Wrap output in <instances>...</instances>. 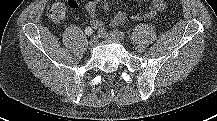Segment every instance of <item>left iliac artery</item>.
<instances>
[{
  "label": "left iliac artery",
  "instance_id": "1",
  "mask_svg": "<svg viewBox=\"0 0 217 121\" xmlns=\"http://www.w3.org/2000/svg\"><path fill=\"white\" fill-rule=\"evenodd\" d=\"M114 33H115L120 39L126 38L125 33L122 32V31H119V30L116 29V30H114Z\"/></svg>",
  "mask_w": 217,
  "mask_h": 121
}]
</instances>
